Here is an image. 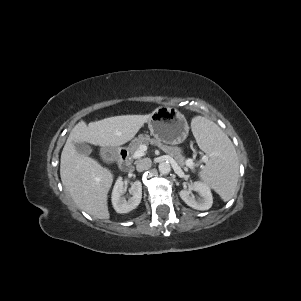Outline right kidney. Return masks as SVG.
<instances>
[{
  "label": "right kidney",
  "mask_w": 301,
  "mask_h": 301,
  "mask_svg": "<svg viewBox=\"0 0 301 301\" xmlns=\"http://www.w3.org/2000/svg\"><path fill=\"white\" fill-rule=\"evenodd\" d=\"M124 193L122 177H119L116 180L112 191V205L117 213H129L135 209L141 201L142 198V184L140 181H136L132 184L130 188V193L132 197L126 200L125 197H122Z\"/></svg>",
  "instance_id": "ca27d5eb"
}]
</instances>
